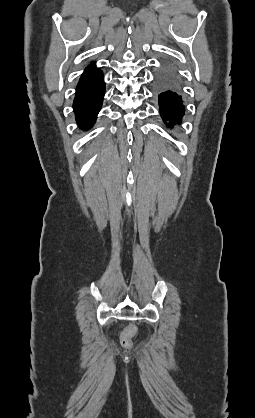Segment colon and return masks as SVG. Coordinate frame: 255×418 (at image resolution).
<instances>
[{
    "mask_svg": "<svg viewBox=\"0 0 255 418\" xmlns=\"http://www.w3.org/2000/svg\"><path fill=\"white\" fill-rule=\"evenodd\" d=\"M137 329L134 325L126 326L120 336V343L121 345L129 349L133 346V338L136 335Z\"/></svg>",
    "mask_w": 255,
    "mask_h": 418,
    "instance_id": "colon-1",
    "label": "colon"
}]
</instances>
